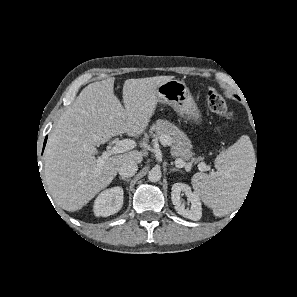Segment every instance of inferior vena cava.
I'll return each instance as SVG.
<instances>
[{
    "instance_id": "1",
    "label": "inferior vena cava",
    "mask_w": 297,
    "mask_h": 297,
    "mask_svg": "<svg viewBox=\"0 0 297 297\" xmlns=\"http://www.w3.org/2000/svg\"><path fill=\"white\" fill-rule=\"evenodd\" d=\"M137 170V163L133 160H127L119 167L118 172L121 177L128 178L135 175Z\"/></svg>"
}]
</instances>
